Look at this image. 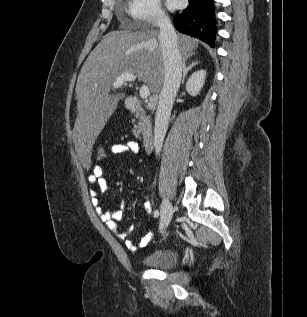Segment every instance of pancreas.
<instances>
[{
	"label": "pancreas",
	"mask_w": 307,
	"mask_h": 317,
	"mask_svg": "<svg viewBox=\"0 0 307 317\" xmlns=\"http://www.w3.org/2000/svg\"><path fill=\"white\" fill-rule=\"evenodd\" d=\"M135 117L137 119V123L134 124L133 135L140 139V135L144 133L145 129L151 127V119L150 116L146 115L145 111L137 113Z\"/></svg>",
	"instance_id": "pancreas-1"
}]
</instances>
